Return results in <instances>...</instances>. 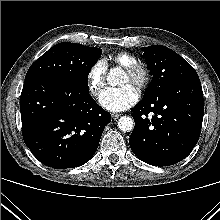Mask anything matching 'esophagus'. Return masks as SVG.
Masks as SVG:
<instances>
[{"instance_id": "esophagus-1", "label": "esophagus", "mask_w": 220, "mask_h": 220, "mask_svg": "<svg viewBox=\"0 0 220 220\" xmlns=\"http://www.w3.org/2000/svg\"><path fill=\"white\" fill-rule=\"evenodd\" d=\"M111 115L114 120L118 119L121 116V114L119 113H112Z\"/></svg>"}]
</instances>
